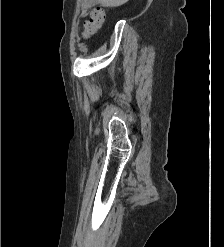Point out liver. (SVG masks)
<instances>
[{
  "mask_svg": "<svg viewBox=\"0 0 224 247\" xmlns=\"http://www.w3.org/2000/svg\"><path fill=\"white\" fill-rule=\"evenodd\" d=\"M99 4L105 6V8H118V6H123L128 0H98Z\"/></svg>",
  "mask_w": 224,
  "mask_h": 247,
  "instance_id": "1",
  "label": "liver"
}]
</instances>
